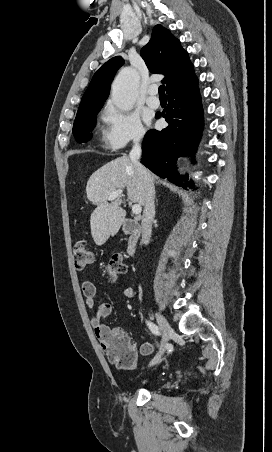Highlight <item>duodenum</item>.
Returning <instances> with one entry per match:
<instances>
[{
    "mask_svg": "<svg viewBox=\"0 0 272 452\" xmlns=\"http://www.w3.org/2000/svg\"><path fill=\"white\" fill-rule=\"evenodd\" d=\"M122 230L129 235L127 252L133 256L137 252L138 242L141 236L140 222L135 219H125L122 224Z\"/></svg>",
    "mask_w": 272,
    "mask_h": 452,
    "instance_id": "410a0bca",
    "label": "duodenum"
}]
</instances>
